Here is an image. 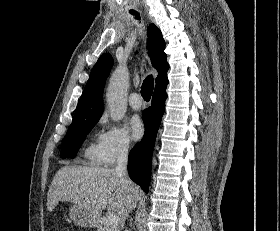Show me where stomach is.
I'll return each mask as SVG.
<instances>
[{
	"label": "stomach",
	"instance_id": "1",
	"mask_svg": "<svg viewBox=\"0 0 280 231\" xmlns=\"http://www.w3.org/2000/svg\"><path fill=\"white\" fill-rule=\"evenodd\" d=\"M69 217L73 219L74 223L81 225V227H95V225H97V219H93L88 209L80 207L77 203L70 207Z\"/></svg>",
	"mask_w": 280,
	"mask_h": 231
}]
</instances>
